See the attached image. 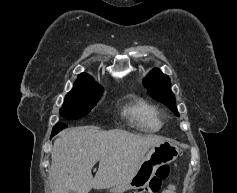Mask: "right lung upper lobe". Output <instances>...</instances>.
<instances>
[{
	"label": "right lung upper lobe",
	"mask_w": 237,
	"mask_h": 193,
	"mask_svg": "<svg viewBox=\"0 0 237 193\" xmlns=\"http://www.w3.org/2000/svg\"><path fill=\"white\" fill-rule=\"evenodd\" d=\"M74 88L83 90H99L103 89L87 74L82 73L78 76L77 81L74 84Z\"/></svg>",
	"instance_id": "obj_1"
}]
</instances>
